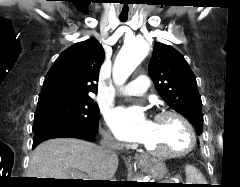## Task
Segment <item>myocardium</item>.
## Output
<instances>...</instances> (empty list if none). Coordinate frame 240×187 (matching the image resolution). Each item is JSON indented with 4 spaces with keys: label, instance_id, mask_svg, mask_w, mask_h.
I'll use <instances>...</instances> for the list:
<instances>
[{
    "label": "myocardium",
    "instance_id": "f54148a6",
    "mask_svg": "<svg viewBox=\"0 0 240 187\" xmlns=\"http://www.w3.org/2000/svg\"><path fill=\"white\" fill-rule=\"evenodd\" d=\"M165 117H174L176 120L179 121L187 137L186 145L180 149L170 150V151H154L148 148L147 146H145L146 152L153 156L163 158V159L177 158L191 152L194 149L196 144V135L190 121L181 112L176 110H163L155 116V120H159Z\"/></svg>",
    "mask_w": 240,
    "mask_h": 187
}]
</instances>
